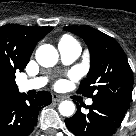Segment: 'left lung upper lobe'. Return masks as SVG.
<instances>
[{"mask_svg":"<svg viewBox=\"0 0 136 136\" xmlns=\"http://www.w3.org/2000/svg\"><path fill=\"white\" fill-rule=\"evenodd\" d=\"M64 29L82 37L90 50V71L77 92L129 107L133 88L132 70L118 42L89 26H67Z\"/></svg>","mask_w":136,"mask_h":136,"instance_id":"left-lung-upper-lobe-1","label":"left lung upper lobe"}]
</instances>
